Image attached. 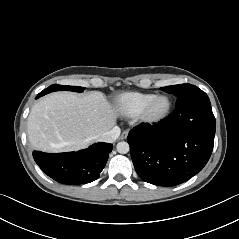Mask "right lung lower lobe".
<instances>
[{"label":"right lung lower lobe","instance_id":"1","mask_svg":"<svg viewBox=\"0 0 239 239\" xmlns=\"http://www.w3.org/2000/svg\"><path fill=\"white\" fill-rule=\"evenodd\" d=\"M112 148V144L99 142L77 152L52 154L34 151L33 157L42 171L55 181L77 185L99 178Z\"/></svg>","mask_w":239,"mask_h":239}]
</instances>
